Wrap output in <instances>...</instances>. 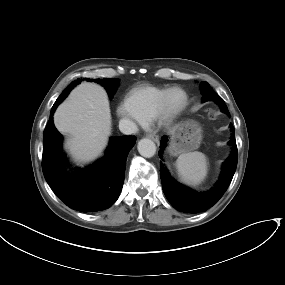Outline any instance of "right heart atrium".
Listing matches in <instances>:
<instances>
[{"label":"right heart atrium","instance_id":"d8ad5b80","mask_svg":"<svg viewBox=\"0 0 285 285\" xmlns=\"http://www.w3.org/2000/svg\"><path fill=\"white\" fill-rule=\"evenodd\" d=\"M115 113L117 118L126 124H133L137 120L135 114L125 102L116 107Z\"/></svg>","mask_w":285,"mask_h":285}]
</instances>
